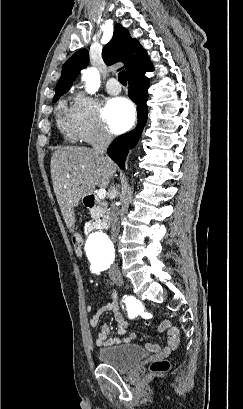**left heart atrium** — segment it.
<instances>
[{
    "label": "left heart atrium",
    "mask_w": 243,
    "mask_h": 409,
    "mask_svg": "<svg viewBox=\"0 0 243 409\" xmlns=\"http://www.w3.org/2000/svg\"><path fill=\"white\" fill-rule=\"evenodd\" d=\"M102 116L108 129L114 134H120L133 125L135 108L126 98H113L106 103Z\"/></svg>",
    "instance_id": "39dd6f15"
}]
</instances>
